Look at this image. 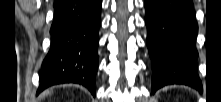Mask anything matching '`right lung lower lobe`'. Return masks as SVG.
<instances>
[{"instance_id": "obj_1", "label": "right lung lower lobe", "mask_w": 221, "mask_h": 102, "mask_svg": "<svg viewBox=\"0 0 221 102\" xmlns=\"http://www.w3.org/2000/svg\"><path fill=\"white\" fill-rule=\"evenodd\" d=\"M102 0H56L51 45L42 63L37 94L49 86L77 83L95 96Z\"/></svg>"}]
</instances>
